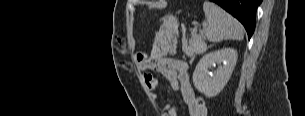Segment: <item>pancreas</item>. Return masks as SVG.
I'll return each instance as SVG.
<instances>
[{
  "label": "pancreas",
  "mask_w": 305,
  "mask_h": 116,
  "mask_svg": "<svg viewBox=\"0 0 305 116\" xmlns=\"http://www.w3.org/2000/svg\"><path fill=\"white\" fill-rule=\"evenodd\" d=\"M206 39L203 34L193 33L192 37L189 39V45H183V52L188 57H195V55L202 54L206 51Z\"/></svg>",
  "instance_id": "1"
}]
</instances>
